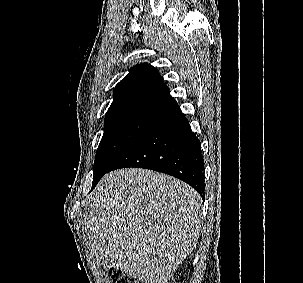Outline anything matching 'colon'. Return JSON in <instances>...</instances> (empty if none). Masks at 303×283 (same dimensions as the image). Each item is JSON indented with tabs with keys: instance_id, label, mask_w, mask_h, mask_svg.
Segmentation results:
<instances>
[{
	"instance_id": "colon-1",
	"label": "colon",
	"mask_w": 303,
	"mask_h": 283,
	"mask_svg": "<svg viewBox=\"0 0 303 283\" xmlns=\"http://www.w3.org/2000/svg\"><path fill=\"white\" fill-rule=\"evenodd\" d=\"M109 274L114 283H137L135 280H132L123 275L117 269H110Z\"/></svg>"
}]
</instances>
